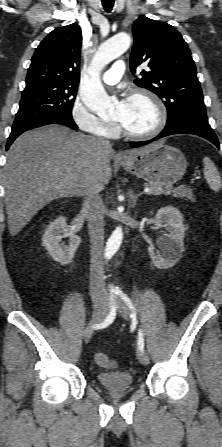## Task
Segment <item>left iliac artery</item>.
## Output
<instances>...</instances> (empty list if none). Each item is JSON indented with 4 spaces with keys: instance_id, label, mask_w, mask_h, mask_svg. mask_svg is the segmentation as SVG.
I'll list each match as a JSON object with an SVG mask.
<instances>
[{
    "instance_id": "1",
    "label": "left iliac artery",
    "mask_w": 222,
    "mask_h": 447,
    "mask_svg": "<svg viewBox=\"0 0 222 447\" xmlns=\"http://www.w3.org/2000/svg\"><path fill=\"white\" fill-rule=\"evenodd\" d=\"M116 294L120 295V297L127 303L129 308L133 311V316H134L135 308H134L130 298L126 294L122 293L121 291H117ZM138 345H139V349L144 348V338H143V333L141 330L139 331V335H138Z\"/></svg>"
}]
</instances>
